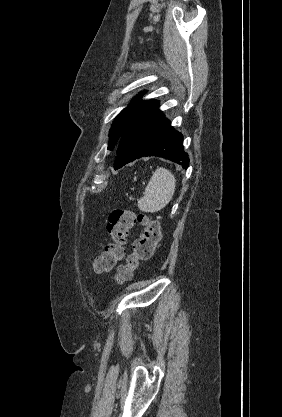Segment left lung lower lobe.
Here are the masks:
<instances>
[{"label":"left lung lower lobe","instance_id":"0a47b994","mask_svg":"<svg viewBox=\"0 0 282 417\" xmlns=\"http://www.w3.org/2000/svg\"><path fill=\"white\" fill-rule=\"evenodd\" d=\"M157 101H144L127 118L119 142L114 169L137 158L158 156L174 161L183 168L189 165L183 149V136L171 127L159 110Z\"/></svg>","mask_w":282,"mask_h":417}]
</instances>
